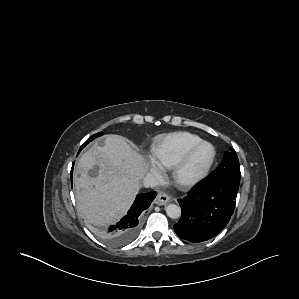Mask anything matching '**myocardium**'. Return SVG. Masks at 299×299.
I'll return each mask as SVG.
<instances>
[{"instance_id": "myocardium-1", "label": "myocardium", "mask_w": 299, "mask_h": 299, "mask_svg": "<svg viewBox=\"0 0 299 299\" xmlns=\"http://www.w3.org/2000/svg\"><path fill=\"white\" fill-rule=\"evenodd\" d=\"M206 145L210 146L212 149L211 159L201 171H199L196 174L189 175L187 171L195 154L198 152L200 148ZM216 156H217V151L215 146L212 143L208 141H201L200 143L196 144L186 153V155L182 158V160L174 167L173 181L175 185L181 189H188L194 187L195 185L203 181L210 173L215 163Z\"/></svg>"}]
</instances>
